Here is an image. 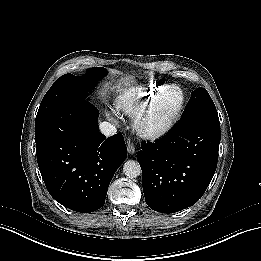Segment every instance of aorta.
I'll use <instances>...</instances> for the list:
<instances>
[{"mask_svg": "<svg viewBox=\"0 0 261 261\" xmlns=\"http://www.w3.org/2000/svg\"><path fill=\"white\" fill-rule=\"evenodd\" d=\"M123 172L129 178H136L141 175L142 170L137 161L128 160L123 164Z\"/></svg>", "mask_w": 261, "mask_h": 261, "instance_id": "762f6f07", "label": "aorta"}]
</instances>
